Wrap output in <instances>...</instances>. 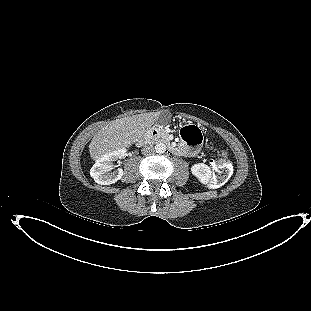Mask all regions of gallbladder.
<instances>
[{
	"label": "gallbladder",
	"instance_id": "1",
	"mask_svg": "<svg viewBox=\"0 0 311 311\" xmlns=\"http://www.w3.org/2000/svg\"><path fill=\"white\" fill-rule=\"evenodd\" d=\"M171 117H172V116H171V113H170L169 111H162V112L159 114V116H158L156 122H157L159 125H167V124L170 123Z\"/></svg>",
	"mask_w": 311,
	"mask_h": 311
}]
</instances>
